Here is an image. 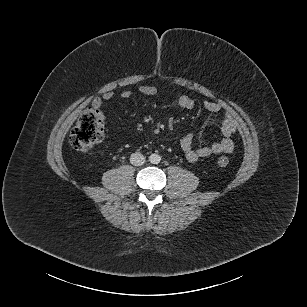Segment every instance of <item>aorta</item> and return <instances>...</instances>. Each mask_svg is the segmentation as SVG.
<instances>
[{
  "instance_id": "762f6f07",
  "label": "aorta",
  "mask_w": 307,
  "mask_h": 307,
  "mask_svg": "<svg viewBox=\"0 0 307 307\" xmlns=\"http://www.w3.org/2000/svg\"><path fill=\"white\" fill-rule=\"evenodd\" d=\"M149 161L152 164H158L161 162V156L159 154L153 153L149 156Z\"/></svg>"
}]
</instances>
